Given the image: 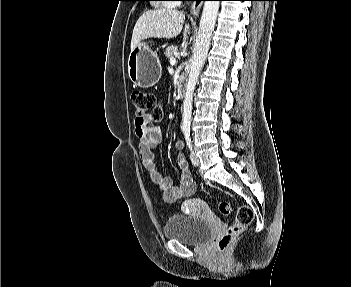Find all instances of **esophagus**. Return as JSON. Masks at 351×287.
Returning <instances> with one entry per match:
<instances>
[{"label": "esophagus", "mask_w": 351, "mask_h": 287, "mask_svg": "<svg viewBox=\"0 0 351 287\" xmlns=\"http://www.w3.org/2000/svg\"><path fill=\"white\" fill-rule=\"evenodd\" d=\"M202 0H194L192 3V7H191V14L193 17H196L201 9L202 6Z\"/></svg>", "instance_id": "esophagus-1"}]
</instances>
